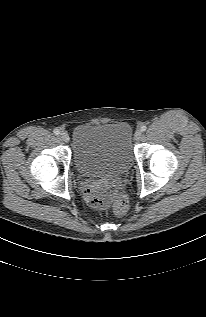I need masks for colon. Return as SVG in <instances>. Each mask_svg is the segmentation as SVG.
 Listing matches in <instances>:
<instances>
[{"label":"colon","mask_w":206,"mask_h":317,"mask_svg":"<svg viewBox=\"0 0 206 317\" xmlns=\"http://www.w3.org/2000/svg\"><path fill=\"white\" fill-rule=\"evenodd\" d=\"M87 197L89 204L97 210L112 207L117 215H122L128 209V200L123 194L111 192L105 188H90L87 190Z\"/></svg>","instance_id":"1"}]
</instances>
